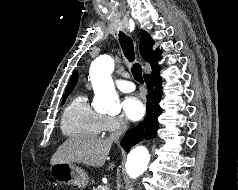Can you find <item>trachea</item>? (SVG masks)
Wrapping results in <instances>:
<instances>
[{
	"label": "trachea",
	"instance_id": "obj_1",
	"mask_svg": "<svg viewBox=\"0 0 238 190\" xmlns=\"http://www.w3.org/2000/svg\"><path fill=\"white\" fill-rule=\"evenodd\" d=\"M119 41L122 47V50L124 52L125 57L132 62L134 60V46H133V40L125 35L124 33H119ZM131 72L134 76V78L140 82L143 83V76H142V69L139 64H134L131 68Z\"/></svg>",
	"mask_w": 238,
	"mask_h": 190
}]
</instances>
